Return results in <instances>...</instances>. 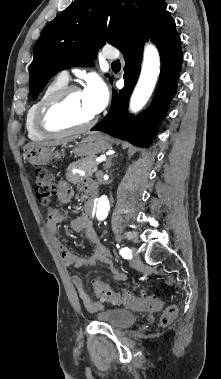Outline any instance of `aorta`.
<instances>
[{"mask_svg":"<svg viewBox=\"0 0 221 379\" xmlns=\"http://www.w3.org/2000/svg\"><path fill=\"white\" fill-rule=\"evenodd\" d=\"M160 73V57L157 48L152 44H147L144 48L143 64L139 80L130 99V110L137 112L143 108L150 98ZM110 205L107 197L101 196L98 204L96 216L98 220H104L109 212Z\"/></svg>","mask_w":221,"mask_h":379,"instance_id":"obj_1","label":"aorta"}]
</instances>
